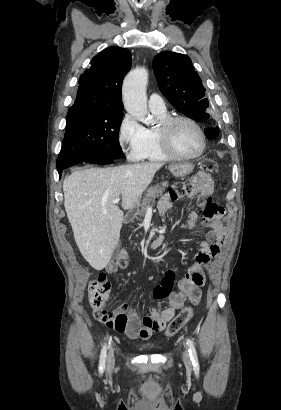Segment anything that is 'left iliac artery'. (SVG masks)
<instances>
[{"instance_id": "left-iliac-artery-1", "label": "left iliac artery", "mask_w": 281, "mask_h": 410, "mask_svg": "<svg viewBox=\"0 0 281 410\" xmlns=\"http://www.w3.org/2000/svg\"><path fill=\"white\" fill-rule=\"evenodd\" d=\"M186 344L188 346L190 359L192 361L193 367L195 369H199V362H198L197 352H196L193 341L188 338Z\"/></svg>"}]
</instances>
